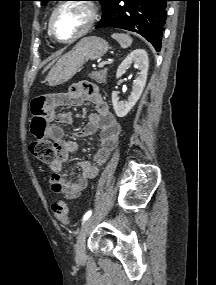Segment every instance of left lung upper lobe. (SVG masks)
<instances>
[{
  "label": "left lung upper lobe",
  "mask_w": 216,
  "mask_h": 285,
  "mask_svg": "<svg viewBox=\"0 0 216 285\" xmlns=\"http://www.w3.org/2000/svg\"><path fill=\"white\" fill-rule=\"evenodd\" d=\"M39 1H41V5H44L48 1H54V0H39ZM96 1H99L101 3L102 12H103L102 16H103L110 10L114 0H96Z\"/></svg>",
  "instance_id": "left-lung-upper-lobe-1"
}]
</instances>
